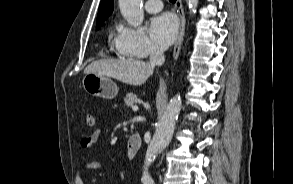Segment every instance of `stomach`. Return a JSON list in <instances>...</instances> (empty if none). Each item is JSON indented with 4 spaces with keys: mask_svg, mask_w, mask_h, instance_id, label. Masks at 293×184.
I'll return each instance as SVG.
<instances>
[{
    "mask_svg": "<svg viewBox=\"0 0 293 184\" xmlns=\"http://www.w3.org/2000/svg\"><path fill=\"white\" fill-rule=\"evenodd\" d=\"M85 91L95 97L113 99L118 94L116 83L100 74L86 73L82 80Z\"/></svg>",
    "mask_w": 293,
    "mask_h": 184,
    "instance_id": "obj_1",
    "label": "stomach"
}]
</instances>
